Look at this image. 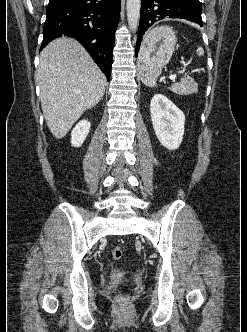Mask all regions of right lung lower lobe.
Masks as SVG:
<instances>
[{
  "label": "right lung lower lobe",
  "instance_id": "right-lung-lower-lobe-1",
  "mask_svg": "<svg viewBox=\"0 0 247 332\" xmlns=\"http://www.w3.org/2000/svg\"><path fill=\"white\" fill-rule=\"evenodd\" d=\"M121 0H49L41 48L62 35L76 38L110 78Z\"/></svg>",
  "mask_w": 247,
  "mask_h": 332
}]
</instances>
